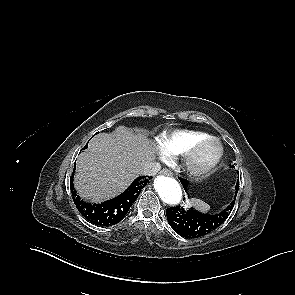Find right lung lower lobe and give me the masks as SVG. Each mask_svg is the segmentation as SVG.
Returning <instances> with one entry per match:
<instances>
[{
  "mask_svg": "<svg viewBox=\"0 0 295 295\" xmlns=\"http://www.w3.org/2000/svg\"><path fill=\"white\" fill-rule=\"evenodd\" d=\"M147 182L146 176L138 177L122 194L101 204L84 202L73 191L74 201L82 216L89 222L99 226H111L120 222L127 215ZM70 185L71 189H74L72 187L73 176L70 178Z\"/></svg>",
  "mask_w": 295,
  "mask_h": 295,
  "instance_id": "obj_1",
  "label": "right lung lower lobe"
}]
</instances>
